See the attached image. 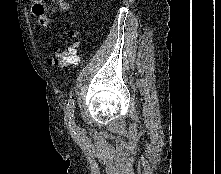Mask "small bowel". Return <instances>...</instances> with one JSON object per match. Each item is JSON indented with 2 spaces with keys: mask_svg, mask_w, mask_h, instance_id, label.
<instances>
[{
  "mask_svg": "<svg viewBox=\"0 0 221 174\" xmlns=\"http://www.w3.org/2000/svg\"><path fill=\"white\" fill-rule=\"evenodd\" d=\"M33 3L32 12L37 18L38 24L42 27H48L52 23L49 9L44 0H30ZM61 13H67L70 10V3L67 0H53Z\"/></svg>",
  "mask_w": 221,
  "mask_h": 174,
  "instance_id": "1",
  "label": "small bowel"
}]
</instances>
